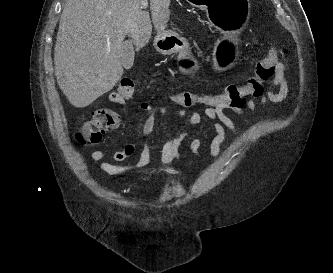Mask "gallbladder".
I'll return each mask as SVG.
<instances>
[{
	"mask_svg": "<svg viewBox=\"0 0 333 273\" xmlns=\"http://www.w3.org/2000/svg\"><path fill=\"white\" fill-rule=\"evenodd\" d=\"M121 63L123 68L129 70L132 68L134 63V48L131 40L122 43L121 49Z\"/></svg>",
	"mask_w": 333,
	"mask_h": 273,
	"instance_id": "1",
	"label": "gallbladder"
}]
</instances>
